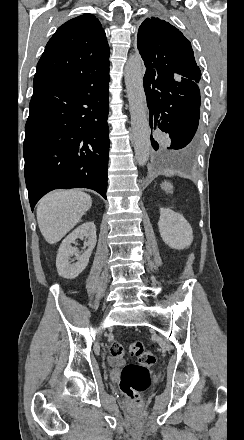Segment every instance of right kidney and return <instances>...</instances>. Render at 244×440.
Segmentation results:
<instances>
[{
	"label": "right kidney",
	"mask_w": 244,
	"mask_h": 440,
	"mask_svg": "<svg viewBox=\"0 0 244 440\" xmlns=\"http://www.w3.org/2000/svg\"><path fill=\"white\" fill-rule=\"evenodd\" d=\"M87 238L88 242H85L84 246H88V250L84 254L78 252V248H73L72 244H75L77 238ZM96 228L94 222H86L79 228H76L74 232H71L65 240H63L56 258V268L59 276L72 280L77 278L78 274H81L88 266L89 258L96 246ZM70 256H76V264L69 262Z\"/></svg>",
	"instance_id": "right-kidney-1"
}]
</instances>
